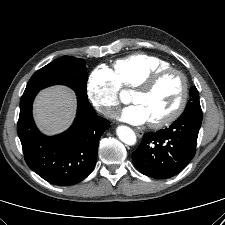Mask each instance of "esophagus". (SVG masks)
I'll list each match as a JSON object with an SVG mask.
<instances>
[{
    "mask_svg": "<svg viewBox=\"0 0 225 225\" xmlns=\"http://www.w3.org/2000/svg\"><path fill=\"white\" fill-rule=\"evenodd\" d=\"M135 132H136V135H137L139 138L143 137V135H144V132H143L142 130L135 129Z\"/></svg>",
    "mask_w": 225,
    "mask_h": 225,
    "instance_id": "esophagus-1",
    "label": "esophagus"
}]
</instances>
